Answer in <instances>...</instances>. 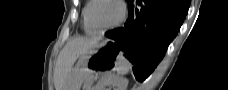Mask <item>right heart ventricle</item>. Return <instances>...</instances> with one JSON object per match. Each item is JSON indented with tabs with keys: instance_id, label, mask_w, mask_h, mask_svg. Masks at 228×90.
<instances>
[{
	"instance_id": "right-heart-ventricle-1",
	"label": "right heart ventricle",
	"mask_w": 228,
	"mask_h": 90,
	"mask_svg": "<svg viewBox=\"0 0 228 90\" xmlns=\"http://www.w3.org/2000/svg\"><path fill=\"white\" fill-rule=\"evenodd\" d=\"M91 2L92 1H86L82 8V25H83V29H84L85 33L88 35L95 34V32L90 27L89 22H88V11L91 6Z\"/></svg>"
}]
</instances>
